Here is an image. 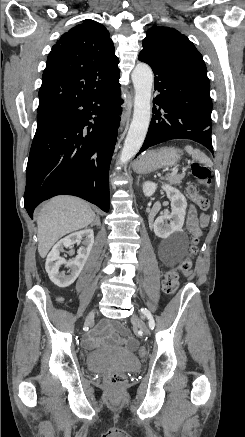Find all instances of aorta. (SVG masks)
Wrapping results in <instances>:
<instances>
[{
    "mask_svg": "<svg viewBox=\"0 0 245 437\" xmlns=\"http://www.w3.org/2000/svg\"><path fill=\"white\" fill-rule=\"evenodd\" d=\"M135 89L133 119L120 155V163L125 164L141 148L146 137L151 118V90L153 73L145 63H138L132 72Z\"/></svg>",
    "mask_w": 245,
    "mask_h": 437,
    "instance_id": "aorta-1",
    "label": "aorta"
}]
</instances>
